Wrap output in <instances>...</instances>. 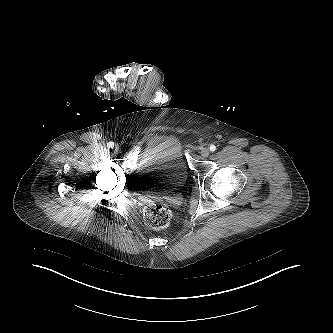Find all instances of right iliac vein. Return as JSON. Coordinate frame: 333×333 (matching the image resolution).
<instances>
[{
  "instance_id": "63e3f726",
  "label": "right iliac vein",
  "mask_w": 333,
  "mask_h": 333,
  "mask_svg": "<svg viewBox=\"0 0 333 333\" xmlns=\"http://www.w3.org/2000/svg\"><path fill=\"white\" fill-rule=\"evenodd\" d=\"M114 150H115V152H120V147L115 146V147H114Z\"/></svg>"
}]
</instances>
